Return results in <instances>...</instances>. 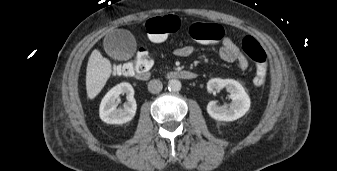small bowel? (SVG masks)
<instances>
[{
  "label": "small bowel",
  "instance_id": "c3829d8e",
  "mask_svg": "<svg viewBox=\"0 0 337 171\" xmlns=\"http://www.w3.org/2000/svg\"><path fill=\"white\" fill-rule=\"evenodd\" d=\"M174 52L179 57H188L193 53V47L190 45H181L177 47ZM219 55L221 59L226 62H237L241 71L247 70L249 66L246 56L229 37L223 38L222 45L219 49Z\"/></svg>",
  "mask_w": 337,
  "mask_h": 171
}]
</instances>
